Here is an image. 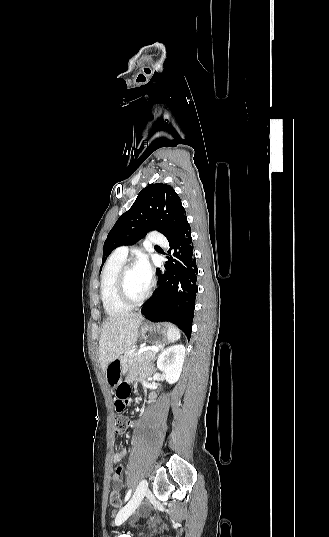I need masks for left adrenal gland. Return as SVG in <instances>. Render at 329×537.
<instances>
[{
    "mask_svg": "<svg viewBox=\"0 0 329 537\" xmlns=\"http://www.w3.org/2000/svg\"><path fill=\"white\" fill-rule=\"evenodd\" d=\"M155 359H156V356H154V357L151 359V364H152V365H153Z\"/></svg>",
    "mask_w": 329,
    "mask_h": 537,
    "instance_id": "left-adrenal-gland-1",
    "label": "left adrenal gland"
}]
</instances>
